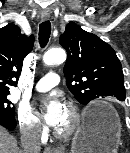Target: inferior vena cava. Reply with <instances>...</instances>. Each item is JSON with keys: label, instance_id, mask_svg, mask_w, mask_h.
<instances>
[{"label": "inferior vena cava", "instance_id": "602c4592", "mask_svg": "<svg viewBox=\"0 0 130 153\" xmlns=\"http://www.w3.org/2000/svg\"><path fill=\"white\" fill-rule=\"evenodd\" d=\"M24 153H40V130L38 126H26L20 129Z\"/></svg>", "mask_w": 130, "mask_h": 153}]
</instances>
